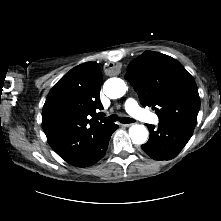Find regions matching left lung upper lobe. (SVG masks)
Wrapping results in <instances>:
<instances>
[{"mask_svg":"<svg viewBox=\"0 0 221 221\" xmlns=\"http://www.w3.org/2000/svg\"><path fill=\"white\" fill-rule=\"evenodd\" d=\"M126 79L143 106L156 111L161 123L196 124L200 98L193 77L175 59L145 51L127 68Z\"/></svg>","mask_w":221,"mask_h":221,"instance_id":"1","label":"left lung upper lobe"}]
</instances>
